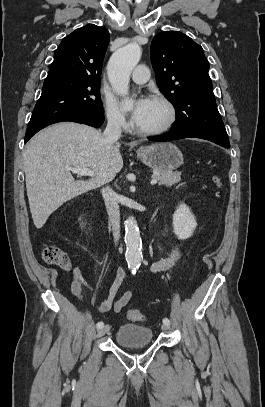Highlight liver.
Listing matches in <instances>:
<instances>
[{
  "label": "liver",
  "instance_id": "1",
  "mask_svg": "<svg viewBox=\"0 0 265 407\" xmlns=\"http://www.w3.org/2000/svg\"><path fill=\"white\" fill-rule=\"evenodd\" d=\"M121 144L108 143L101 131L62 122L35 135L24 151L26 189L36 228L62 204L112 180L123 168ZM67 167L88 168V180L76 181Z\"/></svg>",
  "mask_w": 265,
  "mask_h": 407
}]
</instances>
